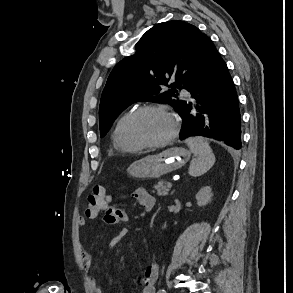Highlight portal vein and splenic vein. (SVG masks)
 <instances>
[{
	"instance_id": "obj_1",
	"label": "portal vein and splenic vein",
	"mask_w": 293,
	"mask_h": 293,
	"mask_svg": "<svg viewBox=\"0 0 293 293\" xmlns=\"http://www.w3.org/2000/svg\"><path fill=\"white\" fill-rule=\"evenodd\" d=\"M167 187L168 188H172V183L171 182H168Z\"/></svg>"
}]
</instances>
